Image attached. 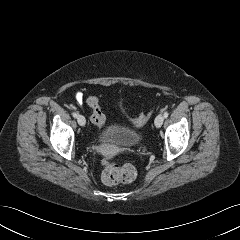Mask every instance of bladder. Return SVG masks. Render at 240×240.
Segmentation results:
<instances>
[{
    "instance_id": "obj_1",
    "label": "bladder",
    "mask_w": 240,
    "mask_h": 240,
    "mask_svg": "<svg viewBox=\"0 0 240 240\" xmlns=\"http://www.w3.org/2000/svg\"><path fill=\"white\" fill-rule=\"evenodd\" d=\"M140 138V133L129 127L119 124L111 125L102 137L105 142L113 143L123 147H131L135 145Z\"/></svg>"
}]
</instances>
